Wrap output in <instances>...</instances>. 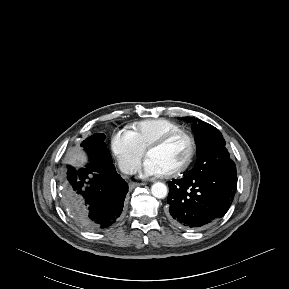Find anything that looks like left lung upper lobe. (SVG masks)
<instances>
[{"instance_id":"5c2ea615","label":"left lung upper lobe","mask_w":289,"mask_h":289,"mask_svg":"<svg viewBox=\"0 0 289 289\" xmlns=\"http://www.w3.org/2000/svg\"><path fill=\"white\" fill-rule=\"evenodd\" d=\"M182 119L194 124L193 131L197 143L198 163L188 173L199 174L225 168L236 176L235 164L229 157L220 131L198 118L182 117Z\"/></svg>"}]
</instances>
